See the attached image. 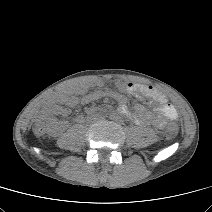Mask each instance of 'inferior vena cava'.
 <instances>
[{
    "label": "inferior vena cava",
    "mask_w": 212,
    "mask_h": 212,
    "mask_svg": "<svg viewBox=\"0 0 212 212\" xmlns=\"http://www.w3.org/2000/svg\"><path fill=\"white\" fill-rule=\"evenodd\" d=\"M91 120L92 121H97L98 120V115L97 114H92L91 115Z\"/></svg>",
    "instance_id": "inferior-vena-cava-1"
}]
</instances>
